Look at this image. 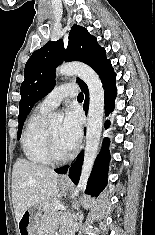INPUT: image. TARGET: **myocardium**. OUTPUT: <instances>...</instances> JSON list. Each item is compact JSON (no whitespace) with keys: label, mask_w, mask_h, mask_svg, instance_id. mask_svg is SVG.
<instances>
[{"label":"myocardium","mask_w":155,"mask_h":235,"mask_svg":"<svg viewBox=\"0 0 155 235\" xmlns=\"http://www.w3.org/2000/svg\"><path fill=\"white\" fill-rule=\"evenodd\" d=\"M46 153L50 161L55 163H63L71 158V153L60 155L55 149V144L49 127L46 128Z\"/></svg>","instance_id":"f54148a6"}]
</instances>
